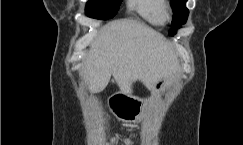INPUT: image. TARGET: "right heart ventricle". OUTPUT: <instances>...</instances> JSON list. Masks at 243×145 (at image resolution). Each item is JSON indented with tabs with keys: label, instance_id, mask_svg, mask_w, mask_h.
Listing matches in <instances>:
<instances>
[{
	"label": "right heart ventricle",
	"instance_id": "e07e8e85",
	"mask_svg": "<svg viewBox=\"0 0 243 145\" xmlns=\"http://www.w3.org/2000/svg\"><path fill=\"white\" fill-rule=\"evenodd\" d=\"M128 5L146 22L155 26L164 23V0H128Z\"/></svg>",
	"mask_w": 243,
	"mask_h": 145
}]
</instances>
